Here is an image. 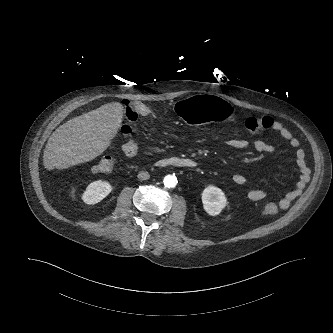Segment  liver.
Returning <instances> with one entry per match:
<instances>
[{"instance_id":"6515ba94","label":"liver","mask_w":333,"mask_h":333,"mask_svg":"<svg viewBox=\"0 0 333 333\" xmlns=\"http://www.w3.org/2000/svg\"><path fill=\"white\" fill-rule=\"evenodd\" d=\"M123 115L122 104L111 102L59 126L47 141L44 167L66 169L95 159L116 136Z\"/></svg>"}]
</instances>
